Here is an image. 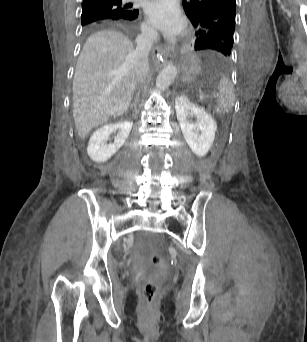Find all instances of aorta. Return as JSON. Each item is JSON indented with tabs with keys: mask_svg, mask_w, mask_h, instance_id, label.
<instances>
[{
	"mask_svg": "<svg viewBox=\"0 0 307 342\" xmlns=\"http://www.w3.org/2000/svg\"><path fill=\"white\" fill-rule=\"evenodd\" d=\"M176 76L177 70L175 66H166L156 78V90H167Z\"/></svg>",
	"mask_w": 307,
	"mask_h": 342,
	"instance_id": "aorta-1",
	"label": "aorta"
}]
</instances>
